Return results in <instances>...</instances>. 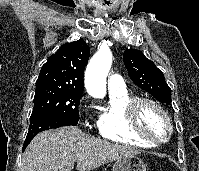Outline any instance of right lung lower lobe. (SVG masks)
Returning <instances> with one entry per match:
<instances>
[{
	"label": "right lung lower lobe",
	"mask_w": 199,
	"mask_h": 171,
	"mask_svg": "<svg viewBox=\"0 0 199 171\" xmlns=\"http://www.w3.org/2000/svg\"><path fill=\"white\" fill-rule=\"evenodd\" d=\"M68 125L76 126L77 124L66 117L53 113H46L31 117L29 131L24 141L22 150L24 151L26 149L30 141L39 132Z\"/></svg>",
	"instance_id": "obj_1"
}]
</instances>
